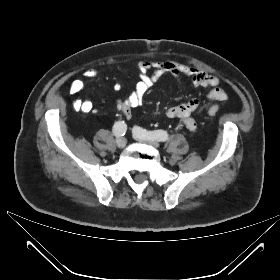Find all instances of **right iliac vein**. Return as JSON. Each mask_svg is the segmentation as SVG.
<instances>
[{"label": "right iliac vein", "mask_w": 280, "mask_h": 280, "mask_svg": "<svg viewBox=\"0 0 280 280\" xmlns=\"http://www.w3.org/2000/svg\"><path fill=\"white\" fill-rule=\"evenodd\" d=\"M126 144H127V140L124 137L118 138L116 141V145L120 149L124 148Z\"/></svg>", "instance_id": "right-iliac-vein-1"}]
</instances>
